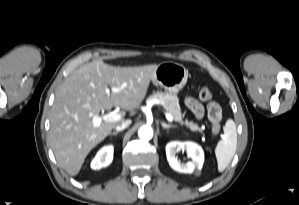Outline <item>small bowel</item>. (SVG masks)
Wrapping results in <instances>:
<instances>
[{
	"label": "small bowel",
	"mask_w": 299,
	"mask_h": 205,
	"mask_svg": "<svg viewBox=\"0 0 299 205\" xmlns=\"http://www.w3.org/2000/svg\"><path fill=\"white\" fill-rule=\"evenodd\" d=\"M185 103L187 105V107L193 112V114L197 117V118H202L204 115V107L201 103H199L195 98L193 97H187L185 99ZM212 108H217L218 110H220V107L217 103L215 102H211L208 106H207V110L209 112L210 109ZM221 111V110H220Z\"/></svg>",
	"instance_id": "c3829d8e"
}]
</instances>
